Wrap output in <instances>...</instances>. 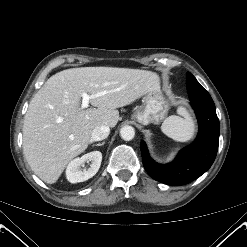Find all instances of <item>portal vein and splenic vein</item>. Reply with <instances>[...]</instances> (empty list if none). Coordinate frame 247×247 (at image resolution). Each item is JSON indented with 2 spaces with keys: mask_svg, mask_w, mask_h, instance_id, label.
<instances>
[{
  "mask_svg": "<svg viewBox=\"0 0 247 247\" xmlns=\"http://www.w3.org/2000/svg\"><path fill=\"white\" fill-rule=\"evenodd\" d=\"M103 94H105V92L96 93V94H92V95H88L87 93H83L82 94V104H81V107L83 109L87 108L89 106V101L91 99L97 98L99 96H102Z\"/></svg>",
  "mask_w": 247,
  "mask_h": 247,
  "instance_id": "1",
  "label": "portal vein and splenic vein"
}]
</instances>
